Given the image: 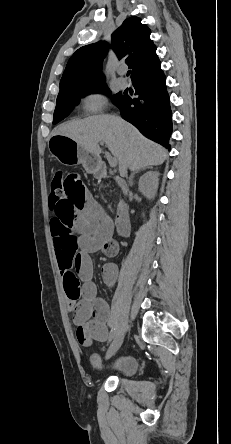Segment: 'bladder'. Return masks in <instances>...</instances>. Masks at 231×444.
Returning <instances> with one entry per match:
<instances>
[{
	"label": "bladder",
	"instance_id": "31cf9c89",
	"mask_svg": "<svg viewBox=\"0 0 231 444\" xmlns=\"http://www.w3.org/2000/svg\"><path fill=\"white\" fill-rule=\"evenodd\" d=\"M92 362L98 364V358L95 356L92 358ZM138 369V362L133 355H122L116 358L109 365L104 364L100 369V373L112 374L121 377H130Z\"/></svg>",
	"mask_w": 231,
	"mask_h": 444
}]
</instances>
